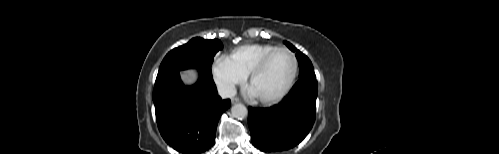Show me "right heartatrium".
Returning a JSON list of instances; mask_svg holds the SVG:
<instances>
[{
  "label": "right heart atrium",
  "instance_id": "obj_1",
  "mask_svg": "<svg viewBox=\"0 0 499 154\" xmlns=\"http://www.w3.org/2000/svg\"><path fill=\"white\" fill-rule=\"evenodd\" d=\"M214 84L222 95L230 96L235 87L246 80V75L227 56H218L211 65Z\"/></svg>",
  "mask_w": 499,
  "mask_h": 154
}]
</instances>
